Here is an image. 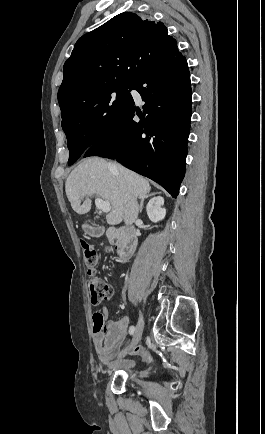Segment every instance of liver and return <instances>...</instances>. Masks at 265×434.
<instances>
[{
	"mask_svg": "<svg viewBox=\"0 0 265 434\" xmlns=\"http://www.w3.org/2000/svg\"><path fill=\"white\" fill-rule=\"evenodd\" d=\"M121 182L126 184L125 190L121 188ZM150 190L151 186L146 178L102 158H85L72 170L65 182L66 196L77 214L90 212L89 198L94 194L111 202L112 210L106 216L107 224L110 226L122 222L128 196H146ZM84 196H87V200L80 206Z\"/></svg>",
	"mask_w": 265,
	"mask_h": 434,
	"instance_id": "6515ba94",
	"label": "liver"
}]
</instances>
